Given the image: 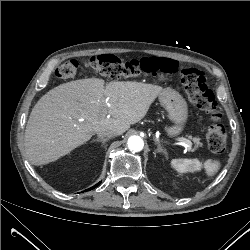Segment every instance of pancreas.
<instances>
[{
    "label": "pancreas",
    "mask_w": 250,
    "mask_h": 250,
    "mask_svg": "<svg viewBox=\"0 0 250 250\" xmlns=\"http://www.w3.org/2000/svg\"><path fill=\"white\" fill-rule=\"evenodd\" d=\"M193 141L196 143L197 147L202 146V143L200 142L199 138L195 137V138H193Z\"/></svg>",
    "instance_id": "1"
}]
</instances>
